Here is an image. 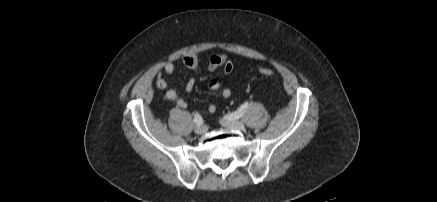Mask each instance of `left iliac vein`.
<instances>
[{
	"label": "left iliac vein",
	"mask_w": 437,
	"mask_h": 202,
	"mask_svg": "<svg viewBox=\"0 0 437 202\" xmlns=\"http://www.w3.org/2000/svg\"><path fill=\"white\" fill-rule=\"evenodd\" d=\"M221 124L224 127H227L229 129H234V130H243L245 128V125L242 121L239 120H222Z\"/></svg>",
	"instance_id": "4c4485c4"
}]
</instances>
